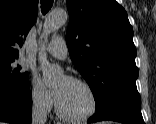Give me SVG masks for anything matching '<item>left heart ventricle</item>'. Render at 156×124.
<instances>
[{"instance_id": "left-heart-ventricle-1", "label": "left heart ventricle", "mask_w": 156, "mask_h": 124, "mask_svg": "<svg viewBox=\"0 0 156 124\" xmlns=\"http://www.w3.org/2000/svg\"><path fill=\"white\" fill-rule=\"evenodd\" d=\"M56 100L60 108L70 115H81L89 110L91 97L80 84L63 77L54 84Z\"/></svg>"}]
</instances>
